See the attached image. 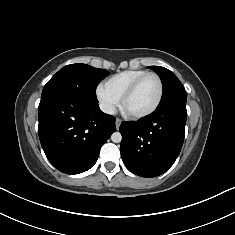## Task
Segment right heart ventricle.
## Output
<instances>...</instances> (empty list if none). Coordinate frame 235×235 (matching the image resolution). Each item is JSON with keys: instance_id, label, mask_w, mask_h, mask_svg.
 Wrapping results in <instances>:
<instances>
[{"instance_id": "obj_1", "label": "right heart ventricle", "mask_w": 235, "mask_h": 235, "mask_svg": "<svg viewBox=\"0 0 235 235\" xmlns=\"http://www.w3.org/2000/svg\"><path fill=\"white\" fill-rule=\"evenodd\" d=\"M147 73L146 70L135 69L125 70L112 75L105 80L104 86L113 93L117 98L121 99L126 89L140 76Z\"/></svg>"}]
</instances>
